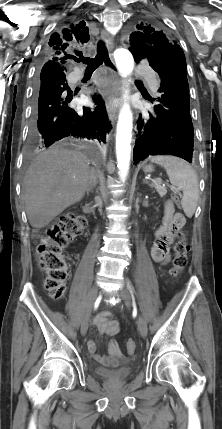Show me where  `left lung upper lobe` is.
<instances>
[{
    "mask_svg": "<svg viewBox=\"0 0 222 429\" xmlns=\"http://www.w3.org/2000/svg\"><path fill=\"white\" fill-rule=\"evenodd\" d=\"M136 27L137 30L131 33L127 41L134 59L146 58L153 68L160 55H172L186 69L184 52L175 40L150 24L140 23Z\"/></svg>",
    "mask_w": 222,
    "mask_h": 429,
    "instance_id": "obj_1",
    "label": "left lung upper lobe"
}]
</instances>
